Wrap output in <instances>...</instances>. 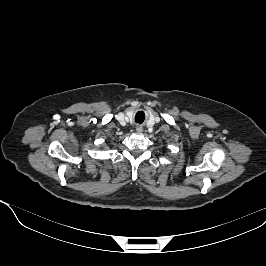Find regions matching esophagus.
Returning a JSON list of instances; mask_svg holds the SVG:
<instances>
[{
    "instance_id": "esophagus-1",
    "label": "esophagus",
    "mask_w": 266,
    "mask_h": 266,
    "mask_svg": "<svg viewBox=\"0 0 266 266\" xmlns=\"http://www.w3.org/2000/svg\"><path fill=\"white\" fill-rule=\"evenodd\" d=\"M142 131H143L142 126H141V125H137V126H136V132L140 133V132H142Z\"/></svg>"
}]
</instances>
